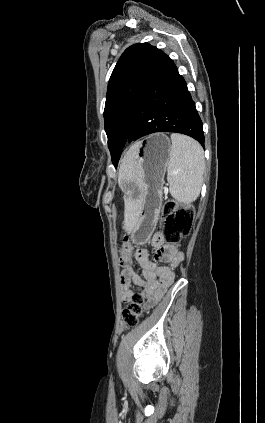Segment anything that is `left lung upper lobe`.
Returning a JSON list of instances; mask_svg holds the SVG:
<instances>
[{
	"instance_id": "obj_1",
	"label": "left lung upper lobe",
	"mask_w": 265,
	"mask_h": 423,
	"mask_svg": "<svg viewBox=\"0 0 265 423\" xmlns=\"http://www.w3.org/2000/svg\"><path fill=\"white\" fill-rule=\"evenodd\" d=\"M158 52L159 49L148 43L130 46L118 60L110 77L104 120L115 167L126 144L136 100Z\"/></svg>"
}]
</instances>
